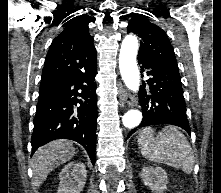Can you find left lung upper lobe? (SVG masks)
<instances>
[{"mask_svg": "<svg viewBox=\"0 0 221 193\" xmlns=\"http://www.w3.org/2000/svg\"><path fill=\"white\" fill-rule=\"evenodd\" d=\"M127 30L141 38L138 55L178 69L173 47L166 33L160 27L140 14L131 18Z\"/></svg>", "mask_w": 221, "mask_h": 193, "instance_id": "1", "label": "left lung upper lobe"}]
</instances>
